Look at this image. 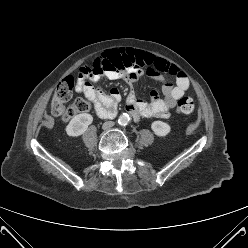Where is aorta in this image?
I'll use <instances>...</instances> for the list:
<instances>
[{
  "instance_id": "obj_1",
  "label": "aorta",
  "mask_w": 248,
  "mask_h": 248,
  "mask_svg": "<svg viewBox=\"0 0 248 248\" xmlns=\"http://www.w3.org/2000/svg\"><path fill=\"white\" fill-rule=\"evenodd\" d=\"M130 118H129V115L126 114V113H123L119 116V119H118V123L122 126H125L128 124Z\"/></svg>"
}]
</instances>
